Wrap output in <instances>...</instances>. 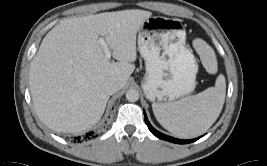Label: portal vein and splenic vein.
Listing matches in <instances>:
<instances>
[{
  "instance_id": "1",
  "label": "portal vein and splenic vein",
  "mask_w": 267,
  "mask_h": 166,
  "mask_svg": "<svg viewBox=\"0 0 267 166\" xmlns=\"http://www.w3.org/2000/svg\"><path fill=\"white\" fill-rule=\"evenodd\" d=\"M98 42L102 46L106 58L110 59L111 58V50L109 49L108 45L106 44L105 39L103 37H100Z\"/></svg>"
}]
</instances>
